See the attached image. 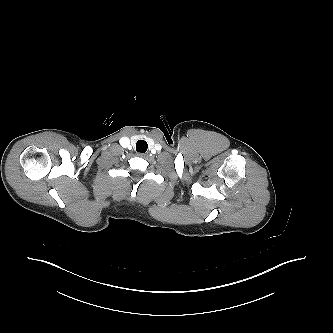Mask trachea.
Masks as SVG:
<instances>
[{
	"label": "trachea",
	"mask_w": 333,
	"mask_h": 333,
	"mask_svg": "<svg viewBox=\"0 0 333 333\" xmlns=\"http://www.w3.org/2000/svg\"><path fill=\"white\" fill-rule=\"evenodd\" d=\"M148 144L144 140H138L136 143V151L139 153H145L147 151Z\"/></svg>",
	"instance_id": "obj_1"
}]
</instances>
